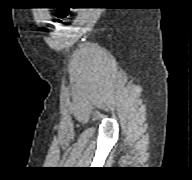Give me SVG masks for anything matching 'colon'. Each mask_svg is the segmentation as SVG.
Wrapping results in <instances>:
<instances>
[{
    "mask_svg": "<svg viewBox=\"0 0 192 180\" xmlns=\"http://www.w3.org/2000/svg\"><path fill=\"white\" fill-rule=\"evenodd\" d=\"M70 11L68 9H61L58 11V20L65 21L69 18Z\"/></svg>",
    "mask_w": 192,
    "mask_h": 180,
    "instance_id": "5ec220e1",
    "label": "colon"
}]
</instances>
